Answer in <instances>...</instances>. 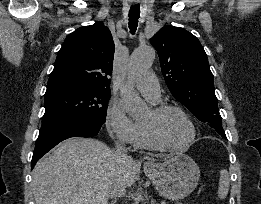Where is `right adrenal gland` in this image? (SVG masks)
I'll list each match as a JSON object with an SVG mask.
<instances>
[{
  "label": "right adrenal gland",
  "mask_w": 261,
  "mask_h": 204,
  "mask_svg": "<svg viewBox=\"0 0 261 204\" xmlns=\"http://www.w3.org/2000/svg\"><path fill=\"white\" fill-rule=\"evenodd\" d=\"M115 202H116V199L114 201H112L111 204H115Z\"/></svg>",
  "instance_id": "1"
}]
</instances>
